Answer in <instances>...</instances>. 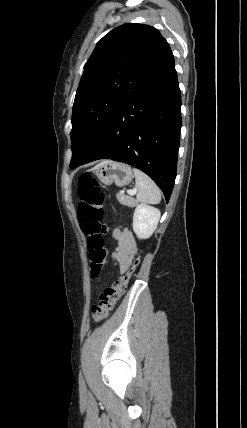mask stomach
<instances>
[{
  "instance_id": "0dacf381",
  "label": "stomach",
  "mask_w": 247,
  "mask_h": 428,
  "mask_svg": "<svg viewBox=\"0 0 247 428\" xmlns=\"http://www.w3.org/2000/svg\"><path fill=\"white\" fill-rule=\"evenodd\" d=\"M95 175L101 183L107 186L115 183L118 187H124L133 179L132 169L129 165L114 161L101 164L95 169Z\"/></svg>"
}]
</instances>
